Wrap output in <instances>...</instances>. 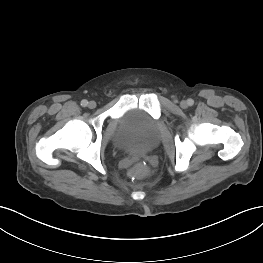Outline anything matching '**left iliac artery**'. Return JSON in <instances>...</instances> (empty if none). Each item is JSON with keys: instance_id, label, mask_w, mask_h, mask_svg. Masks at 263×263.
<instances>
[{"instance_id": "left-iliac-artery-1", "label": "left iliac artery", "mask_w": 263, "mask_h": 263, "mask_svg": "<svg viewBox=\"0 0 263 263\" xmlns=\"http://www.w3.org/2000/svg\"><path fill=\"white\" fill-rule=\"evenodd\" d=\"M187 104H188L189 106H192V105L194 104V101H193L192 99H188V100H187Z\"/></svg>"}]
</instances>
